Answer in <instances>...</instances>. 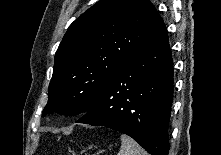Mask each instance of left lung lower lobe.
I'll return each instance as SVG.
<instances>
[{"label": "left lung lower lobe", "instance_id": "obj_1", "mask_svg": "<svg viewBox=\"0 0 221 155\" xmlns=\"http://www.w3.org/2000/svg\"><path fill=\"white\" fill-rule=\"evenodd\" d=\"M173 60L160 18L77 123L106 126L132 137L151 155H168Z\"/></svg>", "mask_w": 221, "mask_h": 155}]
</instances>
